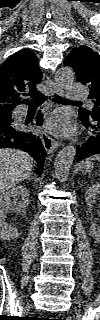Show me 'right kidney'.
<instances>
[{
    "label": "right kidney",
    "instance_id": "obj_1",
    "mask_svg": "<svg viewBox=\"0 0 100 320\" xmlns=\"http://www.w3.org/2000/svg\"><path fill=\"white\" fill-rule=\"evenodd\" d=\"M13 198V202L11 199ZM19 200V202H17ZM28 190L19 185L0 195V237L2 240H13L18 238L19 234L16 226H12L6 222L9 213L17 215H25L29 206Z\"/></svg>",
    "mask_w": 100,
    "mask_h": 320
}]
</instances>
